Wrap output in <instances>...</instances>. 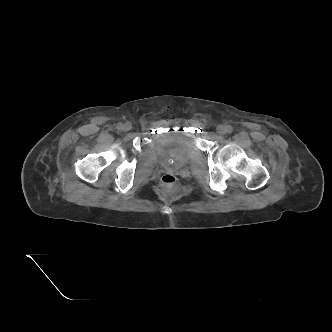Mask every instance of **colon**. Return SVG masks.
Listing matches in <instances>:
<instances>
[{
  "instance_id": "1",
  "label": "colon",
  "mask_w": 332,
  "mask_h": 332,
  "mask_svg": "<svg viewBox=\"0 0 332 332\" xmlns=\"http://www.w3.org/2000/svg\"><path fill=\"white\" fill-rule=\"evenodd\" d=\"M162 190L169 194L174 195L180 190V183L176 176L173 174H165L161 179Z\"/></svg>"
}]
</instances>
